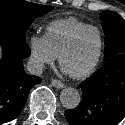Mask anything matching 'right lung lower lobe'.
I'll use <instances>...</instances> for the list:
<instances>
[{"label":"right lung lower lobe","instance_id":"98d812e1","mask_svg":"<svg viewBox=\"0 0 125 125\" xmlns=\"http://www.w3.org/2000/svg\"><path fill=\"white\" fill-rule=\"evenodd\" d=\"M3 56L0 60V123L15 119L24 107L30 89L41 78L25 73L23 59L30 56L25 41L0 34Z\"/></svg>","mask_w":125,"mask_h":125}]
</instances>
